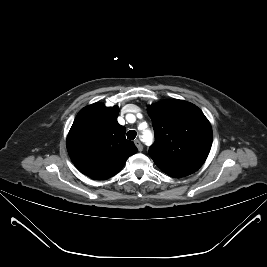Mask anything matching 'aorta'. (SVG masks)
<instances>
[{
    "instance_id": "1",
    "label": "aorta",
    "mask_w": 267,
    "mask_h": 267,
    "mask_svg": "<svg viewBox=\"0 0 267 267\" xmlns=\"http://www.w3.org/2000/svg\"><path fill=\"white\" fill-rule=\"evenodd\" d=\"M143 140L145 141V142H151V140H152V134H151V132L150 131H144L143 132Z\"/></svg>"
}]
</instances>
